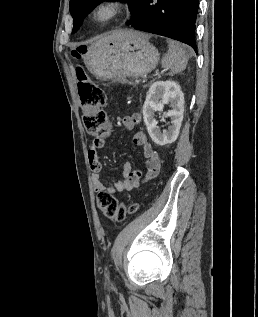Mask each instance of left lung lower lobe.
Wrapping results in <instances>:
<instances>
[{"mask_svg":"<svg viewBox=\"0 0 258 317\" xmlns=\"http://www.w3.org/2000/svg\"><path fill=\"white\" fill-rule=\"evenodd\" d=\"M198 8L199 0H143L129 24L188 44L197 53L194 32Z\"/></svg>","mask_w":258,"mask_h":317,"instance_id":"obj_1","label":"left lung lower lobe"}]
</instances>
